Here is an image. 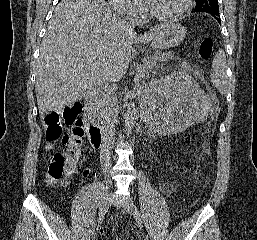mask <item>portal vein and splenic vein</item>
Wrapping results in <instances>:
<instances>
[{"label":"portal vein and splenic vein","instance_id":"1","mask_svg":"<svg viewBox=\"0 0 257 240\" xmlns=\"http://www.w3.org/2000/svg\"><path fill=\"white\" fill-rule=\"evenodd\" d=\"M139 81V79H137V75H136V77H135V82H138Z\"/></svg>","mask_w":257,"mask_h":240}]
</instances>
